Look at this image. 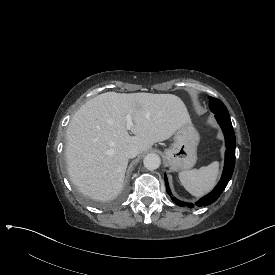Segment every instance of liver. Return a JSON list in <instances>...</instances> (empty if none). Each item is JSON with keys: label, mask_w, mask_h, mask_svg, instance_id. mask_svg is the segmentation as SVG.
<instances>
[{"label": "liver", "mask_w": 275, "mask_h": 275, "mask_svg": "<svg viewBox=\"0 0 275 275\" xmlns=\"http://www.w3.org/2000/svg\"><path fill=\"white\" fill-rule=\"evenodd\" d=\"M133 115L130 136L124 114ZM189 117L183 100L173 94L105 92L84 103L66 132L68 174L76 189L95 201H110L123 188L128 158L125 146L144 152L167 139Z\"/></svg>", "instance_id": "liver-1"}]
</instances>
